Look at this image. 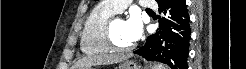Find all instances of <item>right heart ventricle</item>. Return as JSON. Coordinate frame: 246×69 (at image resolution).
<instances>
[{
	"mask_svg": "<svg viewBox=\"0 0 246 69\" xmlns=\"http://www.w3.org/2000/svg\"><path fill=\"white\" fill-rule=\"evenodd\" d=\"M116 14L103 1L88 15L81 37V50L85 54H105L110 51L106 41V29L111 17Z\"/></svg>",
	"mask_w": 246,
	"mask_h": 69,
	"instance_id": "e07e8e85",
	"label": "right heart ventricle"
}]
</instances>
